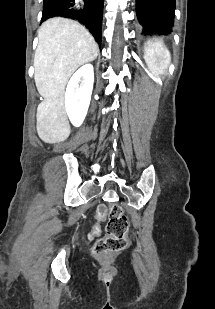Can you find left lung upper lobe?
Wrapping results in <instances>:
<instances>
[{
  "label": "left lung upper lobe",
  "instance_id": "1",
  "mask_svg": "<svg viewBox=\"0 0 215 309\" xmlns=\"http://www.w3.org/2000/svg\"><path fill=\"white\" fill-rule=\"evenodd\" d=\"M175 0H136L141 35L170 34L174 27Z\"/></svg>",
  "mask_w": 215,
  "mask_h": 309
}]
</instances>
